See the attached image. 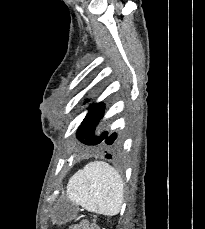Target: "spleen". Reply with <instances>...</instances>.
<instances>
[{"label":"spleen","instance_id":"spleen-1","mask_svg":"<svg viewBox=\"0 0 205 229\" xmlns=\"http://www.w3.org/2000/svg\"><path fill=\"white\" fill-rule=\"evenodd\" d=\"M123 181L120 174L102 161L88 163L67 184L71 202L90 212L113 216L123 204Z\"/></svg>","mask_w":205,"mask_h":229}]
</instances>
